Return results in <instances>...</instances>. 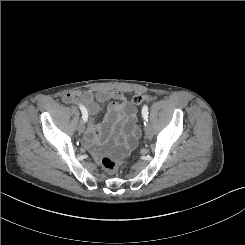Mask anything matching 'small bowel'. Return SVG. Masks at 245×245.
Segmentation results:
<instances>
[{
    "label": "small bowel",
    "mask_w": 245,
    "mask_h": 245,
    "mask_svg": "<svg viewBox=\"0 0 245 245\" xmlns=\"http://www.w3.org/2000/svg\"><path fill=\"white\" fill-rule=\"evenodd\" d=\"M77 98L86 105L91 116L99 112L98 103L111 101L107 105L103 121L99 124L90 122L86 136V141L89 146L97 143L98 132L106 135L110 131H113L114 139L120 145L118 148L120 154L127 153L135 146L140 136V130L136 125L135 111L123 92L117 90L98 91L96 93L86 91L82 94L80 92H71L65 94L63 100L66 103H72Z\"/></svg>",
    "instance_id": "c3829d8e"
}]
</instances>
